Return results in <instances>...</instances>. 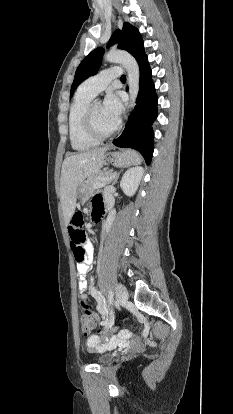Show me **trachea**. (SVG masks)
Here are the masks:
<instances>
[{"label": "trachea", "mask_w": 233, "mask_h": 414, "mask_svg": "<svg viewBox=\"0 0 233 414\" xmlns=\"http://www.w3.org/2000/svg\"><path fill=\"white\" fill-rule=\"evenodd\" d=\"M120 79H121V81H126V76L122 75Z\"/></svg>", "instance_id": "obj_1"}]
</instances>
